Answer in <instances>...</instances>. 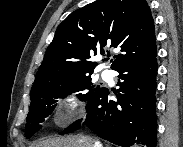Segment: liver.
Wrapping results in <instances>:
<instances>
[{"mask_svg": "<svg viewBox=\"0 0 183 147\" xmlns=\"http://www.w3.org/2000/svg\"><path fill=\"white\" fill-rule=\"evenodd\" d=\"M94 145L95 140L91 137L67 136L64 138H49L42 140L33 144L32 147H95Z\"/></svg>", "mask_w": 183, "mask_h": 147, "instance_id": "1", "label": "liver"}]
</instances>
